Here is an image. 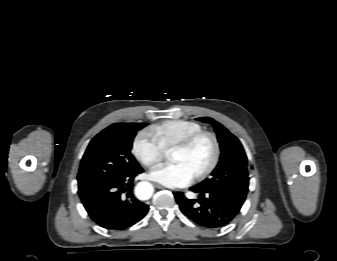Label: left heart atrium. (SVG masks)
Returning <instances> with one entry per match:
<instances>
[{
  "label": "left heart atrium",
  "mask_w": 337,
  "mask_h": 261,
  "mask_svg": "<svg viewBox=\"0 0 337 261\" xmlns=\"http://www.w3.org/2000/svg\"><path fill=\"white\" fill-rule=\"evenodd\" d=\"M149 176L152 180L171 188L187 186L194 179V174L180 162L158 165L150 171Z\"/></svg>",
  "instance_id": "39dd6f15"
}]
</instances>
